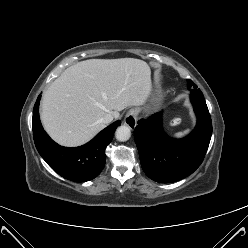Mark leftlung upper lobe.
Returning <instances> with one entry per match:
<instances>
[{"instance_id":"left-lung-upper-lobe-1","label":"left lung upper lobe","mask_w":248,"mask_h":248,"mask_svg":"<svg viewBox=\"0 0 248 248\" xmlns=\"http://www.w3.org/2000/svg\"><path fill=\"white\" fill-rule=\"evenodd\" d=\"M187 81H188V88L197 89V86L193 84L191 80H187Z\"/></svg>"}]
</instances>
